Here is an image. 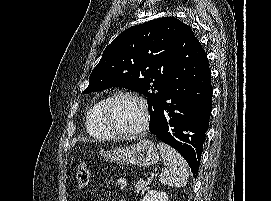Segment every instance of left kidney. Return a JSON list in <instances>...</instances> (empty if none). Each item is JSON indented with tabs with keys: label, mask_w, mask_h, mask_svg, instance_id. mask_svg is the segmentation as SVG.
Wrapping results in <instances>:
<instances>
[{
	"label": "left kidney",
	"mask_w": 271,
	"mask_h": 201,
	"mask_svg": "<svg viewBox=\"0 0 271 201\" xmlns=\"http://www.w3.org/2000/svg\"><path fill=\"white\" fill-rule=\"evenodd\" d=\"M142 201H168V196L165 192L159 190H150Z\"/></svg>",
	"instance_id": "1"
}]
</instances>
